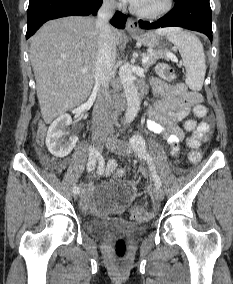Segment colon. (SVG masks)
Segmentation results:
<instances>
[{
  "label": "colon",
  "mask_w": 233,
  "mask_h": 284,
  "mask_svg": "<svg viewBox=\"0 0 233 284\" xmlns=\"http://www.w3.org/2000/svg\"><path fill=\"white\" fill-rule=\"evenodd\" d=\"M157 73L158 75L167 81H171L175 78V73L170 65L166 63H160L157 65ZM195 116L202 118L207 114L206 108L199 104L194 107ZM196 127V122L194 120H188L185 123V129L188 131L194 130ZM37 143L39 146L42 145L41 136L38 137ZM189 159L191 162H198L201 159V153L198 150H191L189 154ZM103 173L106 176H114L116 178H123L125 175V171L123 169L118 168L117 163L114 160L108 161L104 168ZM134 217L137 219H144L149 216L150 211L145 207H138L134 209ZM114 252L118 258H122L126 252V242L123 239H118L114 244Z\"/></svg>",
  "instance_id": "obj_1"
}]
</instances>
